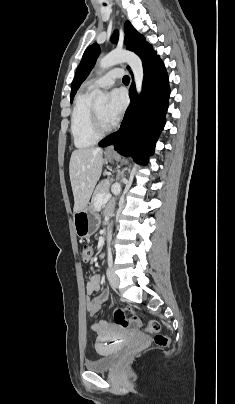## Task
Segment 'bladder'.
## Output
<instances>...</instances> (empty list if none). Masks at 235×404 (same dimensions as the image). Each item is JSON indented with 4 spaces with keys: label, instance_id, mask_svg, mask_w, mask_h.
I'll return each mask as SVG.
<instances>
[{
    "label": "bladder",
    "instance_id": "obj_1",
    "mask_svg": "<svg viewBox=\"0 0 235 404\" xmlns=\"http://www.w3.org/2000/svg\"><path fill=\"white\" fill-rule=\"evenodd\" d=\"M97 351L103 352L104 349L97 345ZM121 351H114L112 353L103 354L94 361L86 362L85 367L93 372H107L110 371L116 364Z\"/></svg>",
    "mask_w": 235,
    "mask_h": 404
}]
</instances>
